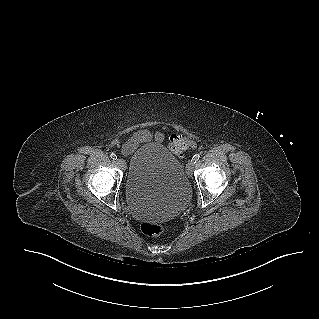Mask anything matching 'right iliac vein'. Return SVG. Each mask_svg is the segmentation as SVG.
<instances>
[{"label":"right iliac vein","instance_id":"63e3f726","mask_svg":"<svg viewBox=\"0 0 319 319\" xmlns=\"http://www.w3.org/2000/svg\"><path fill=\"white\" fill-rule=\"evenodd\" d=\"M117 164H118L119 167H120L121 169H123V170L126 168V162H125V160L122 159V158L117 159Z\"/></svg>","mask_w":319,"mask_h":319}]
</instances>
